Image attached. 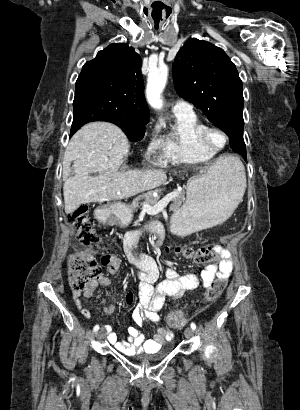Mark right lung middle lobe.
I'll list each match as a JSON object with an SVG mask.
<instances>
[{
	"mask_svg": "<svg viewBox=\"0 0 300 410\" xmlns=\"http://www.w3.org/2000/svg\"><path fill=\"white\" fill-rule=\"evenodd\" d=\"M110 107V103L99 90L90 87L76 88L71 135L87 122L108 121L119 126L131 141L141 140L149 120L121 118L114 115Z\"/></svg>",
	"mask_w": 300,
	"mask_h": 410,
	"instance_id": "1",
	"label": "right lung middle lobe"
}]
</instances>
